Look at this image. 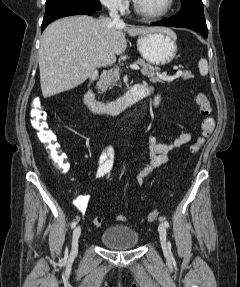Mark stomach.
I'll list each match as a JSON object with an SVG mask.
<instances>
[{
	"label": "stomach",
	"mask_w": 240,
	"mask_h": 287,
	"mask_svg": "<svg viewBox=\"0 0 240 287\" xmlns=\"http://www.w3.org/2000/svg\"><path fill=\"white\" fill-rule=\"evenodd\" d=\"M176 39L171 29L141 34L137 40V49L149 63L166 65L176 57Z\"/></svg>",
	"instance_id": "stomach-1"
}]
</instances>
